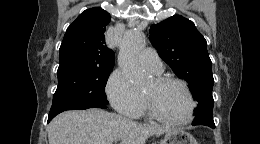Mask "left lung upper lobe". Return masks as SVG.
<instances>
[{"instance_id": "left-lung-upper-lobe-1", "label": "left lung upper lobe", "mask_w": 260, "mask_h": 144, "mask_svg": "<svg viewBox=\"0 0 260 144\" xmlns=\"http://www.w3.org/2000/svg\"><path fill=\"white\" fill-rule=\"evenodd\" d=\"M150 41L174 73L190 84L192 95L199 103L193 125L215 127L211 60L206 40L194 23L180 15L169 17L151 26Z\"/></svg>"}]
</instances>
